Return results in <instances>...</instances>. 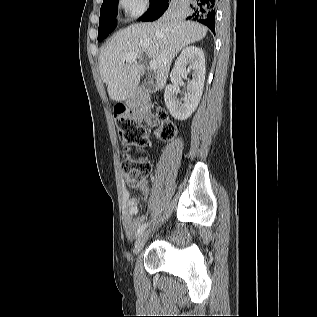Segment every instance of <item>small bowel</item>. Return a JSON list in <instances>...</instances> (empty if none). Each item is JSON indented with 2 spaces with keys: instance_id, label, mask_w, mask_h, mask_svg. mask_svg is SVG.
<instances>
[{
  "instance_id": "small-bowel-1",
  "label": "small bowel",
  "mask_w": 317,
  "mask_h": 317,
  "mask_svg": "<svg viewBox=\"0 0 317 317\" xmlns=\"http://www.w3.org/2000/svg\"><path fill=\"white\" fill-rule=\"evenodd\" d=\"M132 187L138 188L146 197L149 194V186L147 180L144 178L137 183H129ZM140 200L138 197H132L127 200L125 211H124V231L128 237H132L135 231L141 226L144 221V216L133 218L136 214ZM148 205H151V202L148 201Z\"/></svg>"
}]
</instances>
